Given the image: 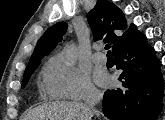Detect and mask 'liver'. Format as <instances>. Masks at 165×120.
Masks as SVG:
<instances>
[{
  "instance_id": "1",
  "label": "liver",
  "mask_w": 165,
  "mask_h": 120,
  "mask_svg": "<svg viewBox=\"0 0 165 120\" xmlns=\"http://www.w3.org/2000/svg\"><path fill=\"white\" fill-rule=\"evenodd\" d=\"M86 105L79 102L55 101L32 110L26 120H90Z\"/></svg>"
}]
</instances>
